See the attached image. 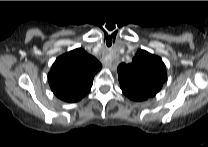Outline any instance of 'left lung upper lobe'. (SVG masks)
I'll return each instance as SVG.
<instances>
[{
  "instance_id": "obj_1",
  "label": "left lung upper lobe",
  "mask_w": 208,
  "mask_h": 147,
  "mask_svg": "<svg viewBox=\"0 0 208 147\" xmlns=\"http://www.w3.org/2000/svg\"><path fill=\"white\" fill-rule=\"evenodd\" d=\"M118 77L123 93H138L149 98L160 91L167 72L160 57L139 50L131 63L118 66Z\"/></svg>"
}]
</instances>
